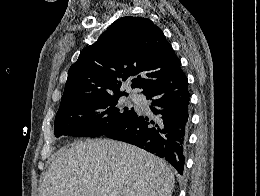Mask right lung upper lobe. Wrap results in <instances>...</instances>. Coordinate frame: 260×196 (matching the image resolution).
I'll use <instances>...</instances> for the list:
<instances>
[{
  "instance_id": "1",
  "label": "right lung upper lobe",
  "mask_w": 260,
  "mask_h": 196,
  "mask_svg": "<svg viewBox=\"0 0 260 196\" xmlns=\"http://www.w3.org/2000/svg\"><path fill=\"white\" fill-rule=\"evenodd\" d=\"M180 70L181 62L158 26L147 18L125 16L81 51L69 69L59 110L95 94L120 93L130 76H137L131 86L144 90Z\"/></svg>"
}]
</instances>
